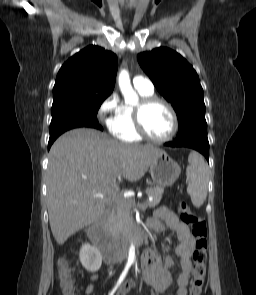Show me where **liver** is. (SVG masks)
<instances>
[{
  "instance_id": "6515ba94",
  "label": "liver",
  "mask_w": 256,
  "mask_h": 295,
  "mask_svg": "<svg viewBox=\"0 0 256 295\" xmlns=\"http://www.w3.org/2000/svg\"><path fill=\"white\" fill-rule=\"evenodd\" d=\"M152 145H128L93 129L60 136L49 151L47 207L52 234L59 245L101 218L117 178L140 180L155 157Z\"/></svg>"
}]
</instances>
